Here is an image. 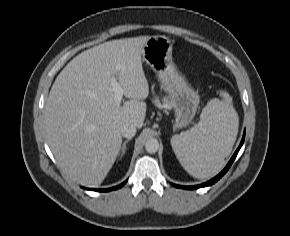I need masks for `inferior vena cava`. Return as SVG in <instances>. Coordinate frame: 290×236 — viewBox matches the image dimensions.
<instances>
[{"label":"inferior vena cava","instance_id":"inferior-vena-cava-1","mask_svg":"<svg viewBox=\"0 0 290 236\" xmlns=\"http://www.w3.org/2000/svg\"><path fill=\"white\" fill-rule=\"evenodd\" d=\"M120 133L124 138H132L136 134V127L133 124H124L120 128Z\"/></svg>","mask_w":290,"mask_h":236}]
</instances>
